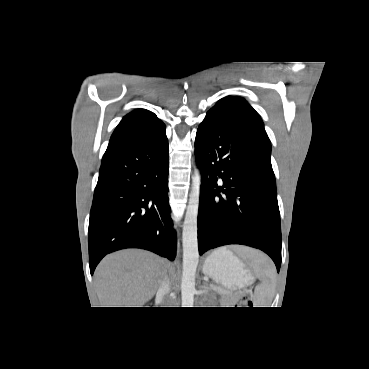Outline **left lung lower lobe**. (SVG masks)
Listing matches in <instances>:
<instances>
[{"mask_svg": "<svg viewBox=\"0 0 369 369\" xmlns=\"http://www.w3.org/2000/svg\"><path fill=\"white\" fill-rule=\"evenodd\" d=\"M202 184L199 254L228 244L260 249L281 265V227L270 150L247 128L207 113L195 139Z\"/></svg>", "mask_w": 369, "mask_h": 369, "instance_id": "0a47b994", "label": "left lung lower lobe"}]
</instances>
